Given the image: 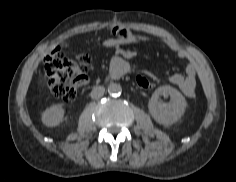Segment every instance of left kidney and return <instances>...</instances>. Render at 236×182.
<instances>
[{
	"label": "left kidney",
	"mask_w": 236,
	"mask_h": 182,
	"mask_svg": "<svg viewBox=\"0 0 236 182\" xmlns=\"http://www.w3.org/2000/svg\"><path fill=\"white\" fill-rule=\"evenodd\" d=\"M161 96H170V102L164 103ZM186 100L184 96L171 86H161L152 94L148 103L149 113L161 125L176 123L185 112Z\"/></svg>",
	"instance_id": "left-kidney-1"
}]
</instances>
